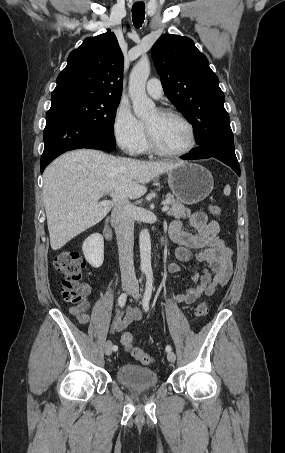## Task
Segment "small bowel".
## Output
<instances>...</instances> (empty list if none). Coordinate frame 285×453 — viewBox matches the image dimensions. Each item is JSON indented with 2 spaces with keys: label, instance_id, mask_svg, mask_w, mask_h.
I'll list each match as a JSON object with an SVG mask.
<instances>
[{
  "label": "small bowel",
  "instance_id": "obj_1",
  "mask_svg": "<svg viewBox=\"0 0 285 453\" xmlns=\"http://www.w3.org/2000/svg\"><path fill=\"white\" fill-rule=\"evenodd\" d=\"M193 229V232L186 230ZM220 226L217 221L209 220L202 211L193 213L187 224L173 220L168 229L167 238L177 244L175 256L178 261L188 262L193 257L207 267L194 269L191 277L192 285L184 293L176 296V300L184 304L196 302L202 295L211 296L220 287L226 285L232 275V250L219 236ZM193 250L196 253L193 255ZM179 263L172 262L168 266L171 273H178ZM81 323H87L89 316L84 312L73 309ZM143 314L135 308L118 311L111 324L110 332L117 333L125 330L132 322L141 321Z\"/></svg>",
  "mask_w": 285,
  "mask_h": 453
}]
</instances>
